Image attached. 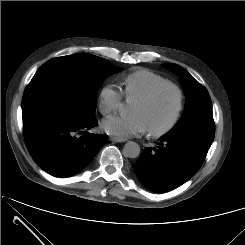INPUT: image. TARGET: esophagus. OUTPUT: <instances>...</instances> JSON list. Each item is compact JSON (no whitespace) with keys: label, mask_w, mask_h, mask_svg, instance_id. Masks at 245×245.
I'll return each mask as SVG.
<instances>
[{"label":"esophagus","mask_w":245,"mask_h":245,"mask_svg":"<svg viewBox=\"0 0 245 245\" xmlns=\"http://www.w3.org/2000/svg\"><path fill=\"white\" fill-rule=\"evenodd\" d=\"M110 140L114 141V142H125L126 141V139H124L122 137H114V136H111Z\"/></svg>","instance_id":"1"}]
</instances>
